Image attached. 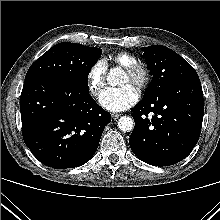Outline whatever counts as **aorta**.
<instances>
[{
    "mask_svg": "<svg viewBox=\"0 0 220 220\" xmlns=\"http://www.w3.org/2000/svg\"><path fill=\"white\" fill-rule=\"evenodd\" d=\"M122 74L121 68H112L110 69L107 75V82L111 86H116L119 84V79ZM118 128L123 132H130L134 128V120L129 116H122L118 120Z\"/></svg>",
    "mask_w": 220,
    "mask_h": 220,
    "instance_id": "762f6f07",
    "label": "aorta"
}]
</instances>
